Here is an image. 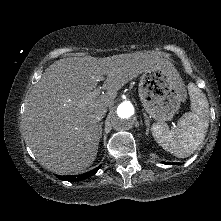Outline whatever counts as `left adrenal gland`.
<instances>
[{
    "mask_svg": "<svg viewBox=\"0 0 221 221\" xmlns=\"http://www.w3.org/2000/svg\"><path fill=\"white\" fill-rule=\"evenodd\" d=\"M143 115L145 117V124H146V127H147L146 135L148 136L149 135V130H150V120H149L146 113H143Z\"/></svg>",
    "mask_w": 221,
    "mask_h": 221,
    "instance_id": "left-adrenal-gland-1",
    "label": "left adrenal gland"
}]
</instances>
